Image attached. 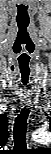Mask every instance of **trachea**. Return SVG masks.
Instances as JSON below:
<instances>
[{"mask_svg": "<svg viewBox=\"0 0 51 154\" xmlns=\"http://www.w3.org/2000/svg\"><path fill=\"white\" fill-rule=\"evenodd\" d=\"M29 110L22 109L20 114L16 117L14 123V137L18 142L25 140L27 132V118L29 115Z\"/></svg>", "mask_w": 51, "mask_h": 154, "instance_id": "trachea-1", "label": "trachea"}]
</instances>
